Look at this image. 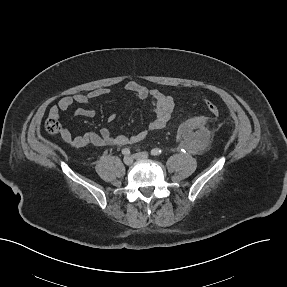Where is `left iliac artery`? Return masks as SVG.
<instances>
[{"instance_id": "left-iliac-artery-1", "label": "left iliac artery", "mask_w": 287, "mask_h": 287, "mask_svg": "<svg viewBox=\"0 0 287 287\" xmlns=\"http://www.w3.org/2000/svg\"><path fill=\"white\" fill-rule=\"evenodd\" d=\"M160 154H162V150L159 149V148H154V149L151 150V155L152 156H158Z\"/></svg>"}]
</instances>
